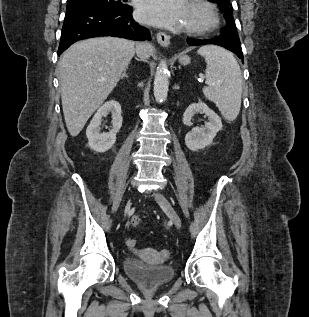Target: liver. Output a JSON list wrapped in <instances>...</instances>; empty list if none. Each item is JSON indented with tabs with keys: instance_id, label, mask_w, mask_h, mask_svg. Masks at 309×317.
I'll use <instances>...</instances> for the list:
<instances>
[{
	"instance_id": "1",
	"label": "liver",
	"mask_w": 309,
	"mask_h": 317,
	"mask_svg": "<svg viewBox=\"0 0 309 317\" xmlns=\"http://www.w3.org/2000/svg\"><path fill=\"white\" fill-rule=\"evenodd\" d=\"M153 51L148 43L99 37L77 42L63 53L59 61L61 100L71 136L80 133L112 92L134 54L146 60Z\"/></svg>"
}]
</instances>
